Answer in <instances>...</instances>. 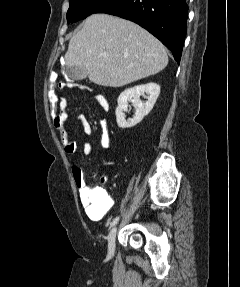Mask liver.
I'll list each match as a JSON object with an SVG mask.
<instances>
[{
  "label": "liver",
  "mask_w": 240,
  "mask_h": 287,
  "mask_svg": "<svg viewBox=\"0 0 240 287\" xmlns=\"http://www.w3.org/2000/svg\"><path fill=\"white\" fill-rule=\"evenodd\" d=\"M64 58L67 67H83L91 82L107 87L155 75L168 64L158 39L131 21L107 14L85 20L70 39Z\"/></svg>",
  "instance_id": "6515ba94"
}]
</instances>
